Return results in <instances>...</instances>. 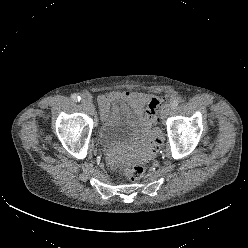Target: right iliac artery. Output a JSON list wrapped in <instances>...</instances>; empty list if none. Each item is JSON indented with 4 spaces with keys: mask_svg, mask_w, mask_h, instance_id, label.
<instances>
[{
    "mask_svg": "<svg viewBox=\"0 0 248 248\" xmlns=\"http://www.w3.org/2000/svg\"><path fill=\"white\" fill-rule=\"evenodd\" d=\"M71 99L75 102H79L81 98L77 94H72Z\"/></svg>",
    "mask_w": 248,
    "mask_h": 248,
    "instance_id": "obj_1",
    "label": "right iliac artery"
}]
</instances>
